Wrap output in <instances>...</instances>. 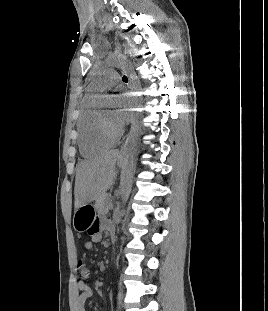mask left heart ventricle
<instances>
[{
	"instance_id": "left-heart-ventricle-1",
	"label": "left heart ventricle",
	"mask_w": 268,
	"mask_h": 311,
	"mask_svg": "<svg viewBox=\"0 0 268 311\" xmlns=\"http://www.w3.org/2000/svg\"><path fill=\"white\" fill-rule=\"evenodd\" d=\"M102 113L113 123L117 124V121L115 120L113 110L111 108H106L102 110Z\"/></svg>"
}]
</instances>
